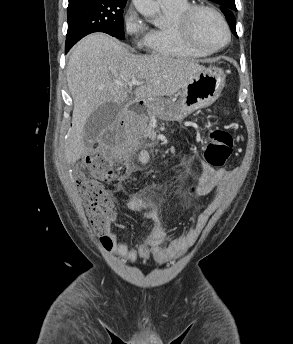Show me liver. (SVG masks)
<instances>
[{
	"label": "liver",
	"mask_w": 293,
	"mask_h": 344,
	"mask_svg": "<svg viewBox=\"0 0 293 344\" xmlns=\"http://www.w3.org/2000/svg\"><path fill=\"white\" fill-rule=\"evenodd\" d=\"M204 68L188 59L135 55L103 33L85 37L70 55L66 69L74 102L64 146L67 163H75L85 153L83 135L89 116L104 103L120 105L127 100L129 88L124 84L142 81L134 90L135 100H152L174 95Z\"/></svg>",
	"instance_id": "obj_1"
}]
</instances>
